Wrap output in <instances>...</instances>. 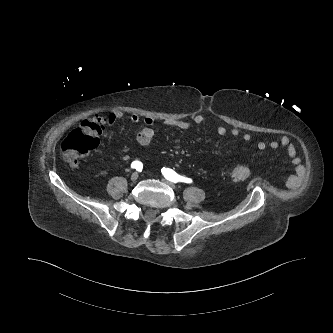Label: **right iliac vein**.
<instances>
[{
    "label": "right iliac vein",
    "instance_id": "right-iliac-vein-1",
    "mask_svg": "<svg viewBox=\"0 0 333 333\" xmlns=\"http://www.w3.org/2000/svg\"><path fill=\"white\" fill-rule=\"evenodd\" d=\"M139 175L137 172H134L132 175H131V180L132 181H136L138 179Z\"/></svg>",
    "mask_w": 333,
    "mask_h": 333
}]
</instances>
